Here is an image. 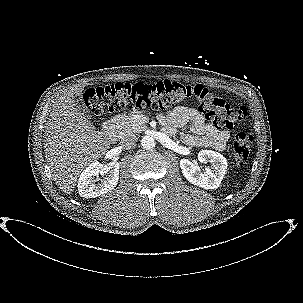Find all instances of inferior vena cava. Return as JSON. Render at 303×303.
Returning a JSON list of instances; mask_svg holds the SVG:
<instances>
[{"mask_svg":"<svg viewBox=\"0 0 303 303\" xmlns=\"http://www.w3.org/2000/svg\"><path fill=\"white\" fill-rule=\"evenodd\" d=\"M135 141L136 137L134 135H126L122 137V143L127 149L133 148L136 145Z\"/></svg>","mask_w":303,"mask_h":303,"instance_id":"inferior-vena-cava-1","label":"inferior vena cava"}]
</instances>
